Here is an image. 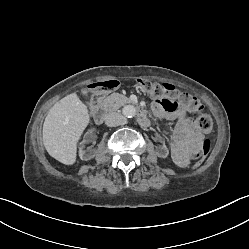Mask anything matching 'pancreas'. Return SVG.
Listing matches in <instances>:
<instances>
[{
  "label": "pancreas",
  "mask_w": 249,
  "mask_h": 249,
  "mask_svg": "<svg viewBox=\"0 0 249 249\" xmlns=\"http://www.w3.org/2000/svg\"><path fill=\"white\" fill-rule=\"evenodd\" d=\"M130 102L131 100L129 98L119 93H113L109 95L108 97H106V99L104 100V104L110 106L113 109H118L124 104L130 103Z\"/></svg>",
  "instance_id": "pancreas-1"
}]
</instances>
